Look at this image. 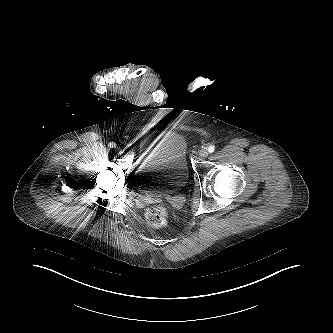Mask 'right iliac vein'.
Returning a JSON list of instances; mask_svg holds the SVG:
<instances>
[{
    "label": "right iliac vein",
    "instance_id": "63e3f726",
    "mask_svg": "<svg viewBox=\"0 0 333 333\" xmlns=\"http://www.w3.org/2000/svg\"><path fill=\"white\" fill-rule=\"evenodd\" d=\"M121 150H122V149H121V147H119V146H118V147H116V148H115V150H114V151H115V153H117V154H118V153H120V152H121Z\"/></svg>",
    "mask_w": 333,
    "mask_h": 333
}]
</instances>
